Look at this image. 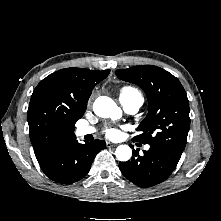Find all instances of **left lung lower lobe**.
<instances>
[{"label": "left lung lower lobe", "mask_w": 221, "mask_h": 221, "mask_svg": "<svg viewBox=\"0 0 221 221\" xmlns=\"http://www.w3.org/2000/svg\"><path fill=\"white\" fill-rule=\"evenodd\" d=\"M133 148V147H132ZM133 148V158L119 163L121 173L140 187H150L166 180L177 166L181 155L156 145H150L148 151Z\"/></svg>", "instance_id": "0a47b994"}]
</instances>
